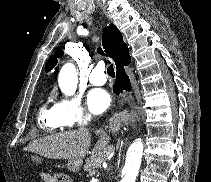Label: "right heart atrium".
<instances>
[{
	"label": "right heart atrium",
	"instance_id": "1",
	"mask_svg": "<svg viewBox=\"0 0 211 182\" xmlns=\"http://www.w3.org/2000/svg\"><path fill=\"white\" fill-rule=\"evenodd\" d=\"M54 107L57 116L65 126L84 124L90 119L78 96L61 97Z\"/></svg>",
	"mask_w": 211,
	"mask_h": 182
}]
</instances>
